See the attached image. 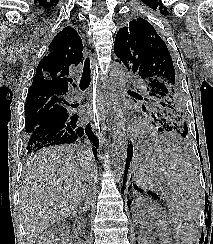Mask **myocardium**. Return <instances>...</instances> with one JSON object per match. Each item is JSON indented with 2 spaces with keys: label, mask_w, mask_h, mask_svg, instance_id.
<instances>
[{
  "label": "myocardium",
  "mask_w": 213,
  "mask_h": 244,
  "mask_svg": "<svg viewBox=\"0 0 213 244\" xmlns=\"http://www.w3.org/2000/svg\"><path fill=\"white\" fill-rule=\"evenodd\" d=\"M148 130V123L144 120H138L131 126V133L134 135L144 134Z\"/></svg>",
  "instance_id": "obj_1"
}]
</instances>
